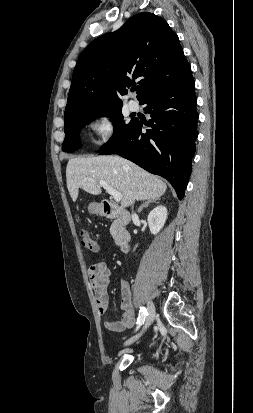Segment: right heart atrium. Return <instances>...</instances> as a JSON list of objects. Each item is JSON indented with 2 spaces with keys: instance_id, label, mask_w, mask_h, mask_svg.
Wrapping results in <instances>:
<instances>
[{
  "instance_id": "1",
  "label": "right heart atrium",
  "mask_w": 253,
  "mask_h": 413,
  "mask_svg": "<svg viewBox=\"0 0 253 413\" xmlns=\"http://www.w3.org/2000/svg\"><path fill=\"white\" fill-rule=\"evenodd\" d=\"M115 117L108 111L96 114L90 121V129L94 134L93 143L104 146L110 142L115 132Z\"/></svg>"
}]
</instances>
